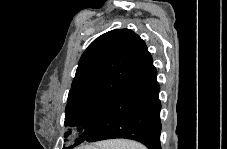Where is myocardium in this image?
<instances>
[{"instance_id":"myocardium-1","label":"myocardium","mask_w":227,"mask_h":149,"mask_svg":"<svg viewBox=\"0 0 227 149\" xmlns=\"http://www.w3.org/2000/svg\"><path fill=\"white\" fill-rule=\"evenodd\" d=\"M77 128H78V127L74 126V127H72L71 129H72V131H76Z\"/></svg>"}]
</instances>
